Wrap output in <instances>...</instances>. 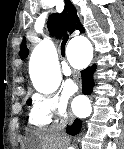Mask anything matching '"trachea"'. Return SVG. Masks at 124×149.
Masks as SVG:
<instances>
[{"instance_id":"1","label":"trachea","mask_w":124,"mask_h":149,"mask_svg":"<svg viewBox=\"0 0 124 149\" xmlns=\"http://www.w3.org/2000/svg\"><path fill=\"white\" fill-rule=\"evenodd\" d=\"M67 39H68V36L66 35L65 38H64V41H66Z\"/></svg>"}]
</instances>
